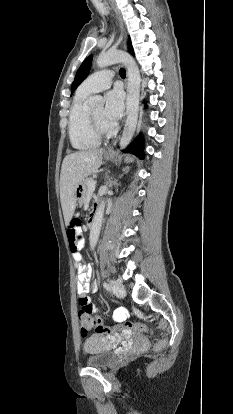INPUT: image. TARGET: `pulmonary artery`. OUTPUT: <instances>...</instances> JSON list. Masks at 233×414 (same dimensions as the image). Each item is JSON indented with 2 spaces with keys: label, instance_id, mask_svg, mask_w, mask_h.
<instances>
[{
  "label": "pulmonary artery",
  "instance_id": "e3ab8cb5",
  "mask_svg": "<svg viewBox=\"0 0 233 414\" xmlns=\"http://www.w3.org/2000/svg\"><path fill=\"white\" fill-rule=\"evenodd\" d=\"M114 73L111 70L98 71L87 77L80 88L87 93L100 92L110 87Z\"/></svg>",
  "mask_w": 233,
  "mask_h": 414
}]
</instances>
